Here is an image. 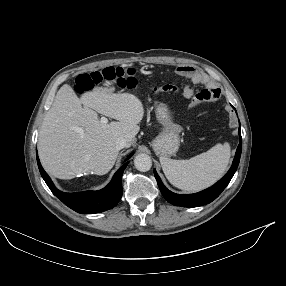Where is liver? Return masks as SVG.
I'll return each instance as SVG.
<instances>
[{"mask_svg": "<svg viewBox=\"0 0 286 286\" xmlns=\"http://www.w3.org/2000/svg\"><path fill=\"white\" fill-rule=\"evenodd\" d=\"M97 112L117 122L103 124ZM143 116V104L133 94L95 88L78 98L65 84L39 132L40 161L49 174L60 179L85 173L104 175L117 159V140L126 139L129 147Z\"/></svg>", "mask_w": 286, "mask_h": 286, "instance_id": "obj_1", "label": "liver"}]
</instances>
